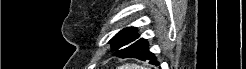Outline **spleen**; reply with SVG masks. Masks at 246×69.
I'll return each instance as SVG.
<instances>
[{"mask_svg": "<svg viewBox=\"0 0 246 69\" xmlns=\"http://www.w3.org/2000/svg\"><path fill=\"white\" fill-rule=\"evenodd\" d=\"M118 69H145V68L136 64H126V65H122L121 67H118Z\"/></svg>", "mask_w": 246, "mask_h": 69, "instance_id": "1", "label": "spleen"}]
</instances>
